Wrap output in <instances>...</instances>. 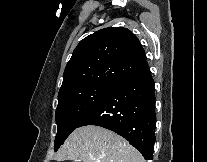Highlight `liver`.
Masks as SVG:
<instances>
[{
	"mask_svg": "<svg viewBox=\"0 0 207 162\" xmlns=\"http://www.w3.org/2000/svg\"><path fill=\"white\" fill-rule=\"evenodd\" d=\"M56 160L145 162L141 153L123 137L96 125L75 129L60 147Z\"/></svg>",
	"mask_w": 207,
	"mask_h": 162,
	"instance_id": "liver-1",
	"label": "liver"
}]
</instances>
